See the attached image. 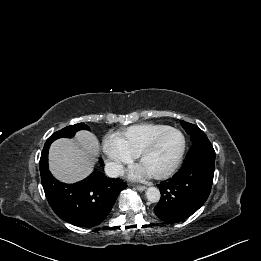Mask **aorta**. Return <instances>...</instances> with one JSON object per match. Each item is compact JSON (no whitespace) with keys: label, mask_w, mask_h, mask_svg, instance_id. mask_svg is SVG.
I'll return each instance as SVG.
<instances>
[{"label":"aorta","mask_w":261,"mask_h":261,"mask_svg":"<svg viewBox=\"0 0 261 261\" xmlns=\"http://www.w3.org/2000/svg\"><path fill=\"white\" fill-rule=\"evenodd\" d=\"M146 198L152 202L156 203L160 200L161 194L157 187H149L145 192Z\"/></svg>","instance_id":"1"}]
</instances>
